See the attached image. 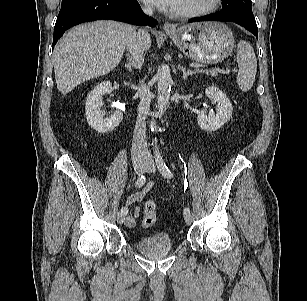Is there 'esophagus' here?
<instances>
[{"instance_id": "1", "label": "esophagus", "mask_w": 307, "mask_h": 301, "mask_svg": "<svg viewBox=\"0 0 307 301\" xmlns=\"http://www.w3.org/2000/svg\"><path fill=\"white\" fill-rule=\"evenodd\" d=\"M163 29L164 31L169 32L175 30V27L171 23L165 22L163 25Z\"/></svg>"}]
</instances>
